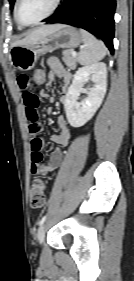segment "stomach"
Returning <instances> with one entry per match:
<instances>
[{
	"mask_svg": "<svg viewBox=\"0 0 134 281\" xmlns=\"http://www.w3.org/2000/svg\"><path fill=\"white\" fill-rule=\"evenodd\" d=\"M83 41L79 30L69 25L61 27L27 45H17L10 50V61L20 71L31 70L39 57L47 52H53L58 48H74Z\"/></svg>",
	"mask_w": 134,
	"mask_h": 281,
	"instance_id": "1",
	"label": "stomach"
}]
</instances>
